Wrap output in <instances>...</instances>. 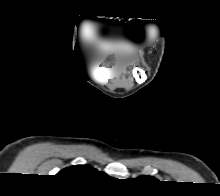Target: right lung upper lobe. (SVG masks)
I'll list each match as a JSON object with an SVG mask.
<instances>
[{
  "label": "right lung upper lobe",
  "instance_id": "right-lung-upper-lobe-1",
  "mask_svg": "<svg viewBox=\"0 0 220 196\" xmlns=\"http://www.w3.org/2000/svg\"><path fill=\"white\" fill-rule=\"evenodd\" d=\"M56 176L67 177L80 182H92L99 179L110 178L89 165H75L61 170Z\"/></svg>",
  "mask_w": 220,
  "mask_h": 196
}]
</instances>
